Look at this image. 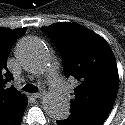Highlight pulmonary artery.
I'll return each mask as SVG.
<instances>
[{"instance_id":"e3ab8cb5","label":"pulmonary artery","mask_w":125,"mask_h":125,"mask_svg":"<svg viewBox=\"0 0 125 125\" xmlns=\"http://www.w3.org/2000/svg\"><path fill=\"white\" fill-rule=\"evenodd\" d=\"M50 85L57 93L68 96L70 94V87L63 81V79L56 73H53L49 78Z\"/></svg>"}]
</instances>
